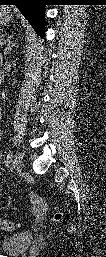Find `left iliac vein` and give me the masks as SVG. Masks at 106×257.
<instances>
[{
  "label": "left iliac vein",
  "instance_id": "left-iliac-vein-1",
  "mask_svg": "<svg viewBox=\"0 0 106 257\" xmlns=\"http://www.w3.org/2000/svg\"><path fill=\"white\" fill-rule=\"evenodd\" d=\"M14 168L17 172L20 171V154H16L14 158Z\"/></svg>",
  "mask_w": 106,
  "mask_h": 257
}]
</instances>
